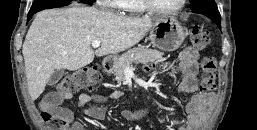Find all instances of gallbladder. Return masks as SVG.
Returning <instances> with one entry per match:
<instances>
[{
	"label": "gallbladder",
	"instance_id": "1",
	"mask_svg": "<svg viewBox=\"0 0 257 130\" xmlns=\"http://www.w3.org/2000/svg\"><path fill=\"white\" fill-rule=\"evenodd\" d=\"M64 74H65V71L63 69L55 70L48 80V85L50 86L55 85L57 82L60 81V79L63 77Z\"/></svg>",
	"mask_w": 257,
	"mask_h": 130
}]
</instances>
